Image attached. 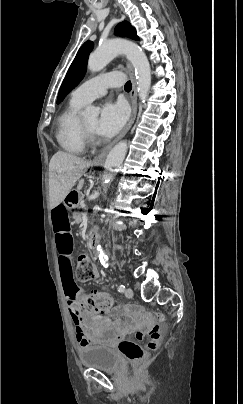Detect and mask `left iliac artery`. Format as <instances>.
<instances>
[{
  "label": "left iliac artery",
  "mask_w": 243,
  "mask_h": 404,
  "mask_svg": "<svg viewBox=\"0 0 243 404\" xmlns=\"http://www.w3.org/2000/svg\"><path fill=\"white\" fill-rule=\"evenodd\" d=\"M118 291L119 292H124L125 291V286L124 285H119L118 286Z\"/></svg>",
  "instance_id": "44dca946"
}]
</instances>
